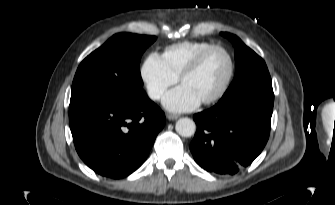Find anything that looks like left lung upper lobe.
I'll return each instance as SVG.
<instances>
[{"label": "left lung upper lobe", "mask_w": 335, "mask_h": 205, "mask_svg": "<svg viewBox=\"0 0 335 205\" xmlns=\"http://www.w3.org/2000/svg\"><path fill=\"white\" fill-rule=\"evenodd\" d=\"M235 47V77L220 101L242 94H256L273 100L272 81L264 60L236 35L222 32Z\"/></svg>", "instance_id": "5c2ea615"}]
</instances>
